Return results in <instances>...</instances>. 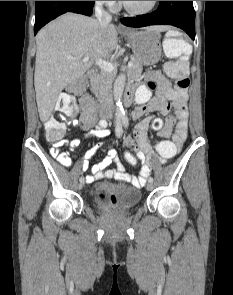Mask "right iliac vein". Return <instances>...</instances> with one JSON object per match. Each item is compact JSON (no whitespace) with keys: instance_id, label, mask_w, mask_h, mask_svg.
<instances>
[{"instance_id":"63e3f726","label":"right iliac vein","mask_w":233,"mask_h":295,"mask_svg":"<svg viewBox=\"0 0 233 295\" xmlns=\"http://www.w3.org/2000/svg\"><path fill=\"white\" fill-rule=\"evenodd\" d=\"M84 184H85V180H84V178H83V179H80V180H79V184H78V188H79V189H82L83 186H84Z\"/></svg>"}]
</instances>
